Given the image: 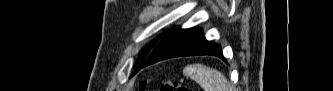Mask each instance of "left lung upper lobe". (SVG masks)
Returning a JSON list of instances; mask_svg holds the SVG:
<instances>
[{
	"instance_id": "1",
	"label": "left lung upper lobe",
	"mask_w": 333,
	"mask_h": 91,
	"mask_svg": "<svg viewBox=\"0 0 333 91\" xmlns=\"http://www.w3.org/2000/svg\"><path fill=\"white\" fill-rule=\"evenodd\" d=\"M163 36V34L156 37L151 43L145 46L140 52V58L143 59L155 46V44L159 41V39Z\"/></svg>"
}]
</instances>
